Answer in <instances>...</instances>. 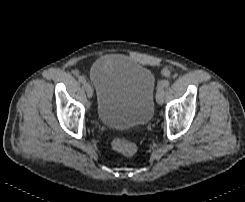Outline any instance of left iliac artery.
I'll return each instance as SVG.
<instances>
[{"label":"left iliac artery","mask_w":245,"mask_h":202,"mask_svg":"<svg viewBox=\"0 0 245 202\" xmlns=\"http://www.w3.org/2000/svg\"><path fill=\"white\" fill-rule=\"evenodd\" d=\"M170 84V82L168 80H162L161 82H159L158 84V90L162 87H167Z\"/></svg>","instance_id":"1"}]
</instances>
